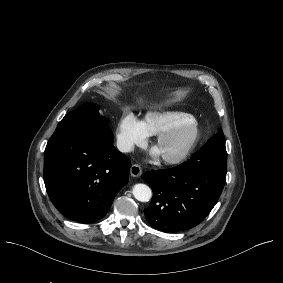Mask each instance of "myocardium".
<instances>
[{"instance_id": "myocardium-1", "label": "myocardium", "mask_w": 283, "mask_h": 283, "mask_svg": "<svg viewBox=\"0 0 283 283\" xmlns=\"http://www.w3.org/2000/svg\"><path fill=\"white\" fill-rule=\"evenodd\" d=\"M184 129L188 136L182 151L175 157L164 158V164L175 166L186 161L194 151L200 137V125L193 117L183 118L171 128L161 131L157 136V143L169 141L177 137Z\"/></svg>"}]
</instances>
